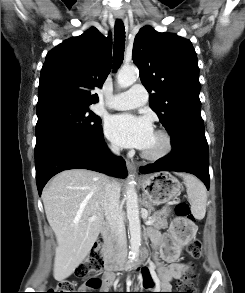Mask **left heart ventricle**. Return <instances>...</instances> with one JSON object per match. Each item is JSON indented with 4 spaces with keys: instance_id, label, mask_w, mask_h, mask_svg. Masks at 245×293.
<instances>
[{
    "instance_id": "left-heart-ventricle-1",
    "label": "left heart ventricle",
    "mask_w": 245,
    "mask_h": 293,
    "mask_svg": "<svg viewBox=\"0 0 245 293\" xmlns=\"http://www.w3.org/2000/svg\"><path fill=\"white\" fill-rule=\"evenodd\" d=\"M163 147V140L162 138L157 135L156 133L153 134L149 144L143 151L149 152V153H156L159 152Z\"/></svg>"
}]
</instances>
